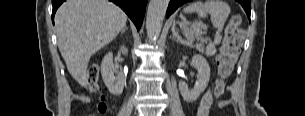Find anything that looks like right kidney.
Wrapping results in <instances>:
<instances>
[{
  "instance_id": "1",
  "label": "right kidney",
  "mask_w": 305,
  "mask_h": 116,
  "mask_svg": "<svg viewBox=\"0 0 305 116\" xmlns=\"http://www.w3.org/2000/svg\"><path fill=\"white\" fill-rule=\"evenodd\" d=\"M120 51L123 55H127L128 50L122 46ZM101 74L103 81L108 88L109 92L113 95H120L123 91L126 82V76L115 69L113 64V54L109 52L105 55L101 63Z\"/></svg>"
}]
</instances>
